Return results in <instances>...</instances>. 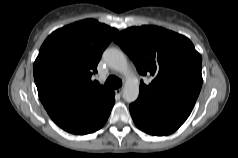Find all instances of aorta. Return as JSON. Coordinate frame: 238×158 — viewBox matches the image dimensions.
Segmentation results:
<instances>
[{
  "label": "aorta",
  "mask_w": 238,
  "mask_h": 158,
  "mask_svg": "<svg viewBox=\"0 0 238 158\" xmlns=\"http://www.w3.org/2000/svg\"><path fill=\"white\" fill-rule=\"evenodd\" d=\"M103 59L110 68L127 77L123 88L124 100L128 103L137 100L139 95V85L135 78L129 76V66L124 53L116 48H108L103 53Z\"/></svg>",
  "instance_id": "1"
}]
</instances>
